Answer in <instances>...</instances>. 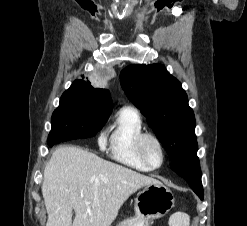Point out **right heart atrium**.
<instances>
[{"instance_id": "right-heart-atrium-1", "label": "right heart atrium", "mask_w": 247, "mask_h": 226, "mask_svg": "<svg viewBox=\"0 0 247 226\" xmlns=\"http://www.w3.org/2000/svg\"><path fill=\"white\" fill-rule=\"evenodd\" d=\"M99 141H100V143H102L104 141V138L100 137Z\"/></svg>"}]
</instances>
